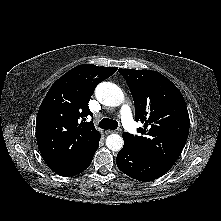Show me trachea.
I'll return each mask as SVG.
<instances>
[{
  "instance_id": "3493384b",
  "label": "trachea",
  "mask_w": 221,
  "mask_h": 221,
  "mask_svg": "<svg viewBox=\"0 0 221 221\" xmlns=\"http://www.w3.org/2000/svg\"><path fill=\"white\" fill-rule=\"evenodd\" d=\"M99 127L105 130H115L118 127V122L113 119L103 118L99 123Z\"/></svg>"
}]
</instances>
